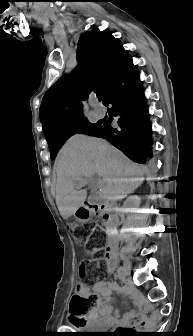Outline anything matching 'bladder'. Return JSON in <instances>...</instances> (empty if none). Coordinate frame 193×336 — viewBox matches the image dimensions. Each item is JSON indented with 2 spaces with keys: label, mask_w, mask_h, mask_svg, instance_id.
<instances>
[{
  "label": "bladder",
  "mask_w": 193,
  "mask_h": 336,
  "mask_svg": "<svg viewBox=\"0 0 193 336\" xmlns=\"http://www.w3.org/2000/svg\"><path fill=\"white\" fill-rule=\"evenodd\" d=\"M83 328L89 331H96V330L104 329L105 326L101 321L97 320V321H90V322L85 323L83 325Z\"/></svg>",
  "instance_id": "bladder-1"
}]
</instances>
